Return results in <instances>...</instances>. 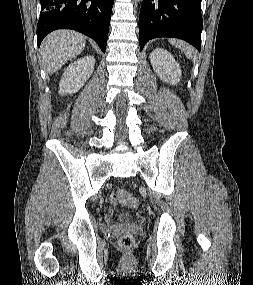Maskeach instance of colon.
I'll return each instance as SVG.
<instances>
[{
    "instance_id": "obj_1",
    "label": "colon",
    "mask_w": 253,
    "mask_h": 285,
    "mask_svg": "<svg viewBox=\"0 0 253 285\" xmlns=\"http://www.w3.org/2000/svg\"><path fill=\"white\" fill-rule=\"evenodd\" d=\"M116 195L118 201L127 207L136 208L139 206V200L125 190L122 189L118 190ZM133 244H134V237L130 233L124 234L120 239V245L123 248H130L131 246H133Z\"/></svg>"
}]
</instances>
